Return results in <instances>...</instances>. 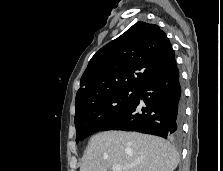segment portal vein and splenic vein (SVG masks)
I'll list each match as a JSON object with an SVG mask.
<instances>
[{"label": "portal vein and splenic vein", "mask_w": 223, "mask_h": 171, "mask_svg": "<svg viewBox=\"0 0 223 171\" xmlns=\"http://www.w3.org/2000/svg\"><path fill=\"white\" fill-rule=\"evenodd\" d=\"M123 169L124 168L118 164L112 166V171H123Z\"/></svg>", "instance_id": "portal-vein-and-splenic-vein-1"}]
</instances>
